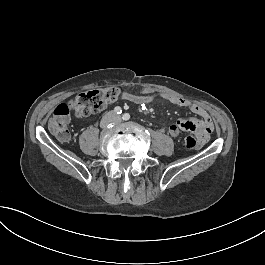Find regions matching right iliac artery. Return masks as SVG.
Masks as SVG:
<instances>
[{
  "label": "right iliac artery",
  "instance_id": "right-iliac-artery-1",
  "mask_svg": "<svg viewBox=\"0 0 265 265\" xmlns=\"http://www.w3.org/2000/svg\"><path fill=\"white\" fill-rule=\"evenodd\" d=\"M114 112L116 114L120 115L122 113V109L119 106H117V107L114 108Z\"/></svg>",
  "mask_w": 265,
  "mask_h": 265
}]
</instances>
